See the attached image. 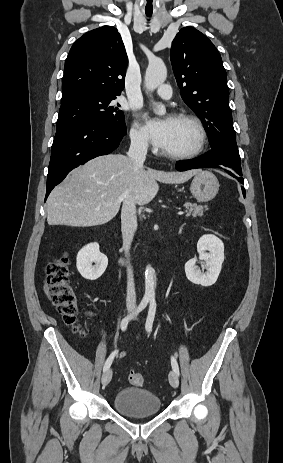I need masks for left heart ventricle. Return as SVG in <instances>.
<instances>
[{
  "mask_svg": "<svg viewBox=\"0 0 283 463\" xmlns=\"http://www.w3.org/2000/svg\"><path fill=\"white\" fill-rule=\"evenodd\" d=\"M198 142V134L193 125L185 121L171 120L169 139L163 151L182 153L192 150Z\"/></svg>",
  "mask_w": 283,
  "mask_h": 463,
  "instance_id": "b2bd125f",
  "label": "left heart ventricle"
}]
</instances>
